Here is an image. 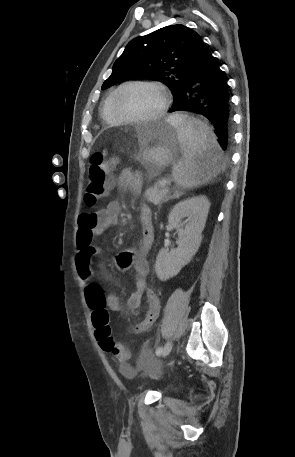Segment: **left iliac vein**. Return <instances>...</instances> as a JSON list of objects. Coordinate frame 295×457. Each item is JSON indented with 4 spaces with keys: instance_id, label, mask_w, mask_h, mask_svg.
Instances as JSON below:
<instances>
[{
    "instance_id": "4c4485c4",
    "label": "left iliac vein",
    "mask_w": 295,
    "mask_h": 457,
    "mask_svg": "<svg viewBox=\"0 0 295 457\" xmlns=\"http://www.w3.org/2000/svg\"><path fill=\"white\" fill-rule=\"evenodd\" d=\"M171 350H172V342H171V341H168V342L165 344L164 348H163V351H162V353H161V356H162V357L167 356V355L171 352Z\"/></svg>"
}]
</instances>
